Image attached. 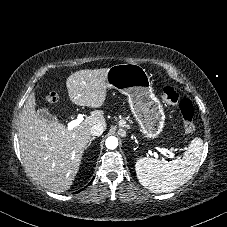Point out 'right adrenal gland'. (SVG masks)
Masks as SVG:
<instances>
[{"instance_id":"obj_1","label":"right adrenal gland","mask_w":227,"mask_h":227,"mask_svg":"<svg viewBox=\"0 0 227 227\" xmlns=\"http://www.w3.org/2000/svg\"><path fill=\"white\" fill-rule=\"evenodd\" d=\"M95 138H96V137H92V138L90 139V142L88 143V145L86 146V148L89 147V146L91 145L92 141H93Z\"/></svg>"}]
</instances>
